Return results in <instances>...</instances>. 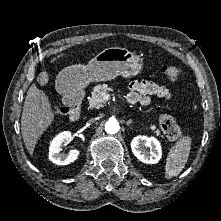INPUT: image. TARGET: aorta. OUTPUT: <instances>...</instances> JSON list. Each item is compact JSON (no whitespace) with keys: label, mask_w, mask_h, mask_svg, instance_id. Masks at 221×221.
<instances>
[{"label":"aorta","mask_w":221,"mask_h":221,"mask_svg":"<svg viewBox=\"0 0 221 221\" xmlns=\"http://www.w3.org/2000/svg\"><path fill=\"white\" fill-rule=\"evenodd\" d=\"M120 129L119 123L116 119L111 118L105 124V131L108 134H116Z\"/></svg>","instance_id":"obj_1"}]
</instances>
